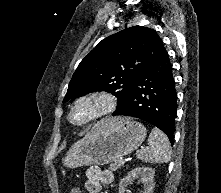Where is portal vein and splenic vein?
<instances>
[{"mask_svg":"<svg viewBox=\"0 0 221 193\" xmlns=\"http://www.w3.org/2000/svg\"><path fill=\"white\" fill-rule=\"evenodd\" d=\"M120 160H121L122 162H125V159H124V158H120Z\"/></svg>","mask_w":221,"mask_h":193,"instance_id":"portal-vein-and-splenic-vein-1","label":"portal vein and splenic vein"}]
</instances>
